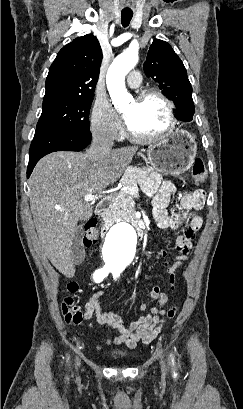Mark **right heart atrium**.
<instances>
[{
  "label": "right heart atrium",
  "instance_id": "1",
  "mask_svg": "<svg viewBox=\"0 0 243 409\" xmlns=\"http://www.w3.org/2000/svg\"><path fill=\"white\" fill-rule=\"evenodd\" d=\"M92 135L103 142L113 143L123 135L120 121L106 100H97L90 115Z\"/></svg>",
  "mask_w": 243,
  "mask_h": 409
}]
</instances>
